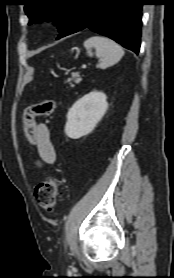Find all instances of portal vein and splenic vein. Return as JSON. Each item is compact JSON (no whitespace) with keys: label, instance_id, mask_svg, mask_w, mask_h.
Returning a JSON list of instances; mask_svg holds the SVG:
<instances>
[{"label":"portal vein and splenic vein","instance_id":"portal-vein-and-splenic-vein-1","mask_svg":"<svg viewBox=\"0 0 174 278\" xmlns=\"http://www.w3.org/2000/svg\"><path fill=\"white\" fill-rule=\"evenodd\" d=\"M82 69H86V65H83V66H82Z\"/></svg>","mask_w":174,"mask_h":278}]
</instances>
